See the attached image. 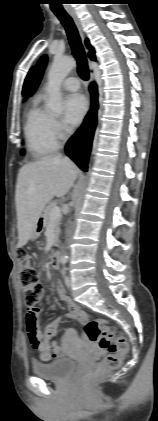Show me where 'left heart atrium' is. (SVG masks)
I'll return each mask as SVG.
<instances>
[{"mask_svg": "<svg viewBox=\"0 0 158 421\" xmlns=\"http://www.w3.org/2000/svg\"><path fill=\"white\" fill-rule=\"evenodd\" d=\"M87 112V102L81 94H71L64 100V122L69 126L78 125Z\"/></svg>", "mask_w": 158, "mask_h": 421, "instance_id": "1", "label": "left heart atrium"}]
</instances>
